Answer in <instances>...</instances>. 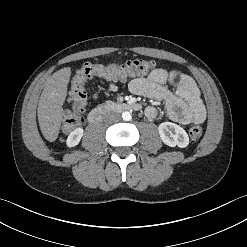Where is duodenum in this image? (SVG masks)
I'll use <instances>...</instances> for the list:
<instances>
[{"instance_id":"410a0bca","label":"duodenum","mask_w":247,"mask_h":247,"mask_svg":"<svg viewBox=\"0 0 247 247\" xmlns=\"http://www.w3.org/2000/svg\"><path fill=\"white\" fill-rule=\"evenodd\" d=\"M140 105L137 103L131 102H122V103H105L96 108H94L88 115V121L90 123H98L102 120L103 116L107 112L111 111H138L140 110Z\"/></svg>"}]
</instances>
